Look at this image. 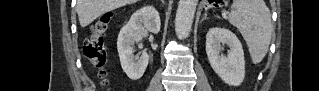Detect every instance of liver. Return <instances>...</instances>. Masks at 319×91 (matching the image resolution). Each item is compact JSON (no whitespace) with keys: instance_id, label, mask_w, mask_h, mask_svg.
I'll use <instances>...</instances> for the list:
<instances>
[{"instance_id":"liver-1","label":"liver","mask_w":319,"mask_h":91,"mask_svg":"<svg viewBox=\"0 0 319 91\" xmlns=\"http://www.w3.org/2000/svg\"><path fill=\"white\" fill-rule=\"evenodd\" d=\"M136 0H77L76 11L81 27H86L102 14L132 4Z\"/></svg>"}]
</instances>
